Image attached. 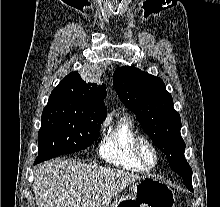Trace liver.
<instances>
[{"label":"liver","mask_w":220,"mask_h":207,"mask_svg":"<svg viewBox=\"0 0 220 207\" xmlns=\"http://www.w3.org/2000/svg\"><path fill=\"white\" fill-rule=\"evenodd\" d=\"M143 176L111 167L52 159L35 172L38 207H109L113 198Z\"/></svg>","instance_id":"6515ba94"}]
</instances>
